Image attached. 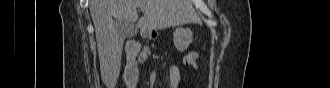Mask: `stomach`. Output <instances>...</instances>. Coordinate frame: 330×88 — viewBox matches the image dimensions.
<instances>
[{
    "instance_id": "stomach-1",
    "label": "stomach",
    "mask_w": 330,
    "mask_h": 88,
    "mask_svg": "<svg viewBox=\"0 0 330 88\" xmlns=\"http://www.w3.org/2000/svg\"><path fill=\"white\" fill-rule=\"evenodd\" d=\"M146 37L152 38V31L146 34ZM193 32L189 28L178 27L173 34V41L176 48L184 52L192 42Z\"/></svg>"
}]
</instances>
